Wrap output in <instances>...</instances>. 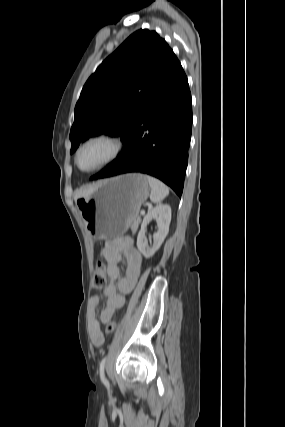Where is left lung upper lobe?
I'll return each mask as SVG.
<instances>
[{
  "mask_svg": "<svg viewBox=\"0 0 285 427\" xmlns=\"http://www.w3.org/2000/svg\"><path fill=\"white\" fill-rule=\"evenodd\" d=\"M171 53L155 31L140 29L108 56L85 83L75 106L71 153L101 133L125 142Z\"/></svg>",
  "mask_w": 285,
  "mask_h": 427,
  "instance_id": "obj_1",
  "label": "left lung upper lobe"
}]
</instances>
